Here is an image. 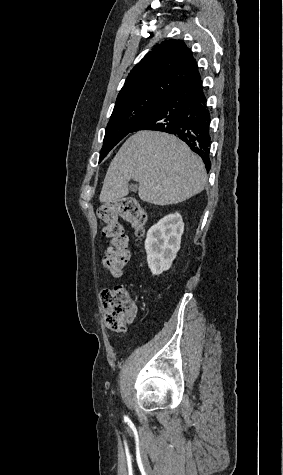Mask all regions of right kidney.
Listing matches in <instances>:
<instances>
[{
	"instance_id": "obj_1",
	"label": "right kidney",
	"mask_w": 283,
	"mask_h": 475,
	"mask_svg": "<svg viewBox=\"0 0 283 475\" xmlns=\"http://www.w3.org/2000/svg\"><path fill=\"white\" fill-rule=\"evenodd\" d=\"M184 232V222L181 214H168L151 226L145 239L148 265L153 275L167 271L180 249L181 236Z\"/></svg>"
}]
</instances>
